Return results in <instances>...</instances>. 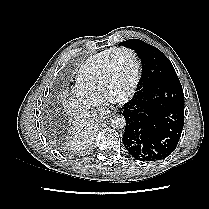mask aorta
<instances>
[{"instance_id": "obj_1", "label": "aorta", "mask_w": 209, "mask_h": 209, "mask_svg": "<svg viewBox=\"0 0 209 209\" xmlns=\"http://www.w3.org/2000/svg\"><path fill=\"white\" fill-rule=\"evenodd\" d=\"M110 125L112 128L121 129L126 125L124 116L122 115H113L110 118Z\"/></svg>"}]
</instances>
